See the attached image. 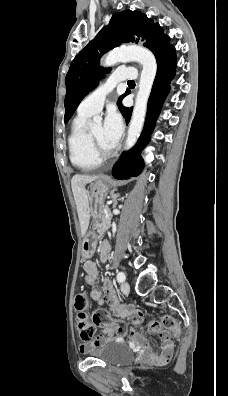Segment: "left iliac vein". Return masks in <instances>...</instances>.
I'll return each mask as SVG.
<instances>
[{
	"label": "left iliac vein",
	"mask_w": 228,
	"mask_h": 396,
	"mask_svg": "<svg viewBox=\"0 0 228 396\" xmlns=\"http://www.w3.org/2000/svg\"><path fill=\"white\" fill-rule=\"evenodd\" d=\"M121 291L124 293V294H128L129 293V291H130V286H129V284H128V282H123L122 283V285H121Z\"/></svg>",
	"instance_id": "obj_1"
}]
</instances>
